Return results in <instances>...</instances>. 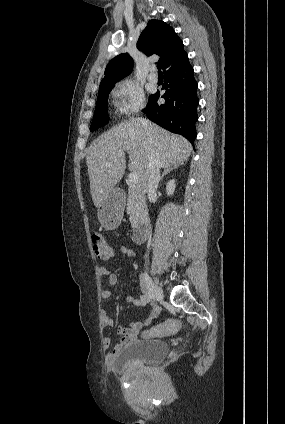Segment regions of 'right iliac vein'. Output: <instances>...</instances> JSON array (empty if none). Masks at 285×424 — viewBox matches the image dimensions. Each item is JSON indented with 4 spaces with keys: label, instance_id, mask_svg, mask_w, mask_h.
Listing matches in <instances>:
<instances>
[{
    "label": "right iliac vein",
    "instance_id": "63e3f726",
    "mask_svg": "<svg viewBox=\"0 0 285 424\" xmlns=\"http://www.w3.org/2000/svg\"><path fill=\"white\" fill-rule=\"evenodd\" d=\"M152 287H153V290H154V295H155L156 300L159 301V302L162 301L164 299V294H163L162 289L157 284H155L154 282H152ZM157 313H158V311H157Z\"/></svg>",
    "mask_w": 285,
    "mask_h": 424
}]
</instances>
